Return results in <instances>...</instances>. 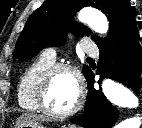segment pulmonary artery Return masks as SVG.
I'll list each match as a JSON object with an SVG mask.
<instances>
[{"mask_svg":"<svg viewBox=\"0 0 142 128\" xmlns=\"http://www.w3.org/2000/svg\"><path fill=\"white\" fill-rule=\"evenodd\" d=\"M82 50L90 56L98 55V48L97 46L90 40L86 39L82 42ZM42 55L52 61L56 60V52L53 48H46Z\"/></svg>","mask_w":142,"mask_h":128,"instance_id":"obj_1","label":"pulmonary artery"}]
</instances>
